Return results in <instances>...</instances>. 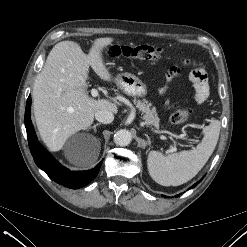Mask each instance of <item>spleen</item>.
<instances>
[{
  "mask_svg": "<svg viewBox=\"0 0 247 247\" xmlns=\"http://www.w3.org/2000/svg\"><path fill=\"white\" fill-rule=\"evenodd\" d=\"M220 121L213 120L203 130L204 137L192 150L164 156L150 151L147 168L152 179L163 186H179L191 180L204 167L212 155L219 138Z\"/></svg>",
  "mask_w": 247,
  "mask_h": 247,
  "instance_id": "obj_1",
  "label": "spleen"
}]
</instances>
